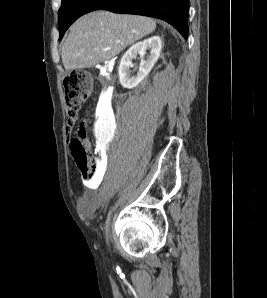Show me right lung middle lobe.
Masks as SVG:
<instances>
[{
  "mask_svg": "<svg viewBox=\"0 0 267 298\" xmlns=\"http://www.w3.org/2000/svg\"><path fill=\"white\" fill-rule=\"evenodd\" d=\"M98 0H62L58 12L60 40L68 27L81 15L88 13Z\"/></svg>",
  "mask_w": 267,
  "mask_h": 298,
  "instance_id": "1",
  "label": "right lung middle lobe"
}]
</instances>
